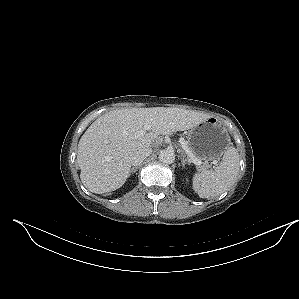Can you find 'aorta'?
Instances as JSON below:
<instances>
[{
	"label": "aorta",
	"instance_id": "aorta-1",
	"mask_svg": "<svg viewBox=\"0 0 299 299\" xmlns=\"http://www.w3.org/2000/svg\"><path fill=\"white\" fill-rule=\"evenodd\" d=\"M159 160L164 164H172L175 160V154L171 150H163L159 154Z\"/></svg>",
	"mask_w": 299,
	"mask_h": 299
}]
</instances>
